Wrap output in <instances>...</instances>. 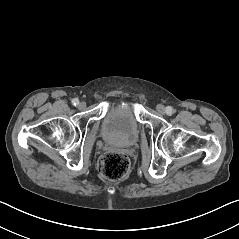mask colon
Wrapping results in <instances>:
<instances>
[{
	"label": "colon",
	"instance_id": "5ec220e1",
	"mask_svg": "<svg viewBox=\"0 0 239 239\" xmlns=\"http://www.w3.org/2000/svg\"><path fill=\"white\" fill-rule=\"evenodd\" d=\"M129 168V158L120 152H107L99 162L101 174L109 180L122 179L128 173Z\"/></svg>",
	"mask_w": 239,
	"mask_h": 239
}]
</instances>
